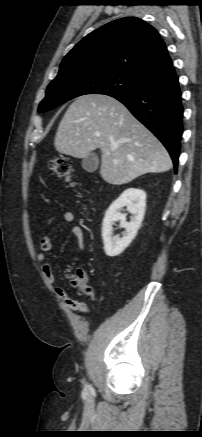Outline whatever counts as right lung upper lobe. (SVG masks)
<instances>
[{
	"label": "right lung upper lobe",
	"instance_id": "right-lung-upper-lobe-1",
	"mask_svg": "<svg viewBox=\"0 0 202 437\" xmlns=\"http://www.w3.org/2000/svg\"><path fill=\"white\" fill-rule=\"evenodd\" d=\"M171 65L157 30L140 18L125 17L84 37L64 57L58 76L72 70L107 71L145 81Z\"/></svg>",
	"mask_w": 202,
	"mask_h": 437
}]
</instances>
